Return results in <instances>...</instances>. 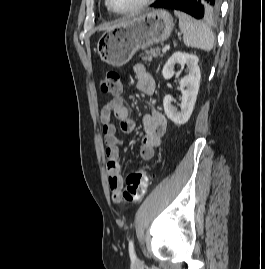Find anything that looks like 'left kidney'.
<instances>
[{
    "label": "left kidney",
    "instance_id": "left-kidney-1",
    "mask_svg": "<svg viewBox=\"0 0 265 269\" xmlns=\"http://www.w3.org/2000/svg\"><path fill=\"white\" fill-rule=\"evenodd\" d=\"M176 64H179L182 67L187 65L189 70L188 75L180 81V87L182 89L186 88L182 96L180 111H177V109L172 106L171 95H166L164 97L163 106L166 116L175 124L181 125L189 120L193 112L199 91L201 74L197 56L183 52H175L163 67L162 74L164 79L169 80L174 76V68Z\"/></svg>",
    "mask_w": 265,
    "mask_h": 269
}]
</instances>
